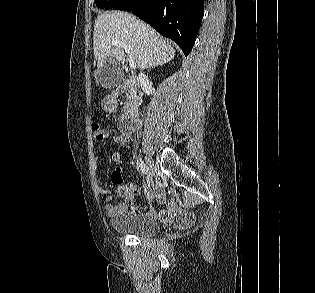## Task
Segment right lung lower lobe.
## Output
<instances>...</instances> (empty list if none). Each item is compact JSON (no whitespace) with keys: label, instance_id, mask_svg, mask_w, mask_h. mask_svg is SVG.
<instances>
[{"label":"right lung lower lobe","instance_id":"obj_1","mask_svg":"<svg viewBox=\"0 0 315 293\" xmlns=\"http://www.w3.org/2000/svg\"><path fill=\"white\" fill-rule=\"evenodd\" d=\"M114 9L132 11L175 41L187 56L200 28L204 0H123Z\"/></svg>","mask_w":315,"mask_h":293}]
</instances>
